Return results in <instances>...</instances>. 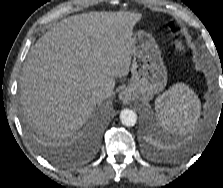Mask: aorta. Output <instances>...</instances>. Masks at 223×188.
Here are the masks:
<instances>
[{"label":"aorta","instance_id":"aorta-1","mask_svg":"<svg viewBox=\"0 0 223 188\" xmlns=\"http://www.w3.org/2000/svg\"><path fill=\"white\" fill-rule=\"evenodd\" d=\"M120 120L126 126H134L137 122V114L130 109H123L120 112Z\"/></svg>","mask_w":223,"mask_h":188}]
</instances>
